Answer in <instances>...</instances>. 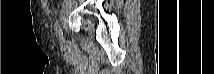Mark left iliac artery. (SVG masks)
<instances>
[{
  "instance_id": "1",
  "label": "left iliac artery",
  "mask_w": 214,
  "mask_h": 74,
  "mask_svg": "<svg viewBox=\"0 0 214 74\" xmlns=\"http://www.w3.org/2000/svg\"><path fill=\"white\" fill-rule=\"evenodd\" d=\"M59 27H60L59 20H56L55 23H54V29H55L56 36L59 39H63L62 33H61V29H59Z\"/></svg>"
}]
</instances>
